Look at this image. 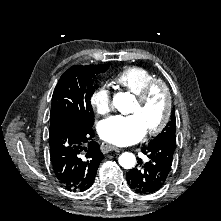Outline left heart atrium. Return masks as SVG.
<instances>
[{
  "label": "left heart atrium",
  "mask_w": 221,
  "mask_h": 221,
  "mask_svg": "<svg viewBox=\"0 0 221 221\" xmlns=\"http://www.w3.org/2000/svg\"><path fill=\"white\" fill-rule=\"evenodd\" d=\"M100 137L117 146H126L140 141L146 129L137 116L116 115L102 121L99 125Z\"/></svg>",
  "instance_id": "39dd6f15"
}]
</instances>
